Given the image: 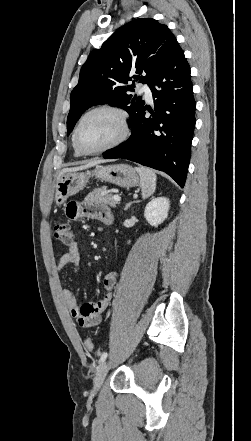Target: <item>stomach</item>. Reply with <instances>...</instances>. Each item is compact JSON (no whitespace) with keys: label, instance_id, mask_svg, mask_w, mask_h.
<instances>
[{"label":"stomach","instance_id":"1","mask_svg":"<svg viewBox=\"0 0 251 441\" xmlns=\"http://www.w3.org/2000/svg\"><path fill=\"white\" fill-rule=\"evenodd\" d=\"M91 177L115 184L123 188L135 187L139 184L136 170L127 164L99 166L92 171L67 172L60 176L55 189V202L59 206L68 197L82 190Z\"/></svg>","mask_w":251,"mask_h":441}]
</instances>
